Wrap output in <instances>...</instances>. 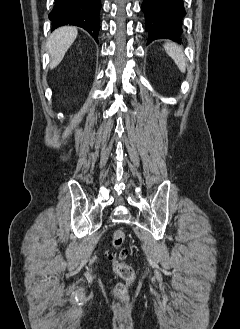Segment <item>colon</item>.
<instances>
[{
    "instance_id": "obj_1",
    "label": "colon",
    "mask_w": 240,
    "mask_h": 329,
    "mask_svg": "<svg viewBox=\"0 0 240 329\" xmlns=\"http://www.w3.org/2000/svg\"><path fill=\"white\" fill-rule=\"evenodd\" d=\"M111 240L113 247L119 249L125 241L124 232L122 230L114 231L111 235ZM127 254L128 251L122 249L118 253L109 256L112 268L122 279V282L118 283L115 287V294L121 298L126 297L128 287L131 285L135 277L134 269L130 265L122 262V259L126 257Z\"/></svg>"
}]
</instances>
